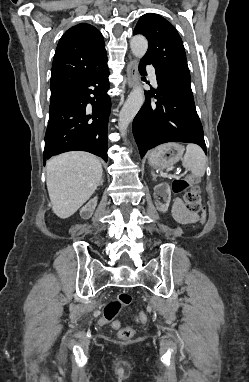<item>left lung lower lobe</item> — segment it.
Segmentation results:
<instances>
[{
  "mask_svg": "<svg viewBox=\"0 0 249 382\" xmlns=\"http://www.w3.org/2000/svg\"><path fill=\"white\" fill-rule=\"evenodd\" d=\"M141 60L139 70L146 75ZM157 90L146 91L157 101L146 97L144 107L133 120V134L141 157L147 150L167 142L195 143L206 152L202 124L196 112L193 95L157 76Z\"/></svg>",
  "mask_w": 249,
  "mask_h": 382,
  "instance_id": "1",
  "label": "left lung lower lobe"
}]
</instances>
